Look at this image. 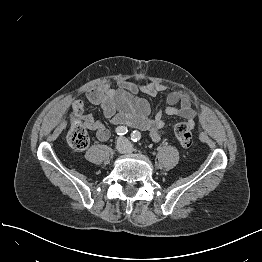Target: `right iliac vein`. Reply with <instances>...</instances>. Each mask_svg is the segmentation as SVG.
I'll use <instances>...</instances> for the list:
<instances>
[{
	"label": "right iliac vein",
	"instance_id": "right-iliac-vein-1",
	"mask_svg": "<svg viewBox=\"0 0 262 262\" xmlns=\"http://www.w3.org/2000/svg\"><path fill=\"white\" fill-rule=\"evenodd\" d=\"M125 143L126 141L124 139L119 140V142L116 145V149L118 152L124 153L126 151Z\"/></svg>",
	"mask_w": 262,
	"mask_h": 262
}]
</instances>
